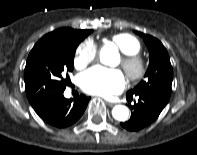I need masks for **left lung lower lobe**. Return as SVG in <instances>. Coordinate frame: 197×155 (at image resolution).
<instances>
[{"mask_svg": "<svg viewBox=\"0 0 197 155\" xmlns=\"http://www.w3.org/2000/svg\"><path fill=\"white\" fill-rule=\"evenodd\" d=\"M127 100L132 101L133 96L138 97V101L131 108V117L121 125L130 131H138L157 119L167 103L158 98L142 94H126Z\"/></svg>", "mask_w": 197, "mask_h": 155, "instance_id": "left-lung-lower-lobe-1", "label": "left lung lower lobe"}]
</instances>
